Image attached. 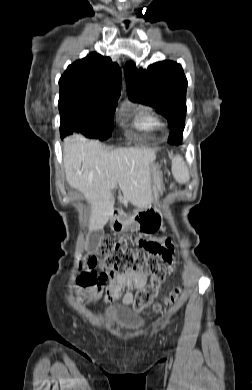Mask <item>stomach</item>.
<instances>
[{"instance_id": "0dacf381", "label": "stomach", "mask_w": 252, "mask_h": 390, "mask_svg": "<svg viewBox=\"0 0 252 390\" xmlns=\"http://www.w3.org/2000/svg\"><path fill=\"white\" fill-rule=\"evenodd\" d=\"M153 181L152 202H156L162 187V180L156 165L150 169ZM161 222V215L156 204L150 203L146 208L137 210L128 217H114L111 219V227L114 231L120 232L127 230L130 226L145 232L152 233Z\"/></svg>"}]
</instances>
